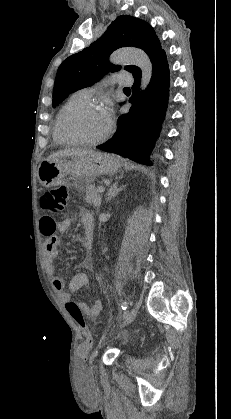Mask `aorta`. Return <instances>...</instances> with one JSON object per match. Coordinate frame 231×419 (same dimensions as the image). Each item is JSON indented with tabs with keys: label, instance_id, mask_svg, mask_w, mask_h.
Instances as JSON below:
<instances>
[{
	"label": "aorta",
	"instance_id": "762f6f07",
	"mask_svg": "<svg viewBox=\"0 0 231 419\" xmlns=\"http://www.w3.org/2000/svg\"><path fill=\"white\" fill-rule=\"evenodd\" d=\"M112 64L130 63L141 70V89L144 90L152 77L153 67L148 55L140 49H119L110 56Z\"/></svg>",
	"mask_w": 231,
	"mask_h": 419
}]
</instances>
